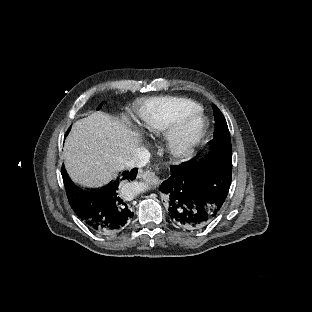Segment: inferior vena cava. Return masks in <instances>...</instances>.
<instances>
[{"instance_id": "inferior-vena-cava-1", "label": "inferior vena cava", "mask_w": 312, "mask_h": 312, "mask_svg": "<svg viewBox=\"0 0 312 312\" xmlns=\"http://www.w3.org/2000/svg\"><path fill=\"white\" fill-rule=\"evenodd\" d=\"M150 158L151 156L147 149L139 148L133 157L124 162L122 168L144 167L147 165Z\"/></svg>"}]
</instances>
